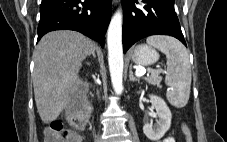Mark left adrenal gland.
<instances>
[{
	"label": "left adrenal gland",
	"mask_w": 227,
	"mask_h": 142,
	"mask_svg": "<svg viewBox=\"0 0 227 142\" xmlns=\"http://www.w3.org/2000/svg\"><path fill=\"white\" fill-rule=\"evenodd\" d=\"M129 80L130 81H138L139 82V79L136 78L134 75H133V72H132V65H130L129 67Z\"/></svg>",
	"instance_id": "obj_1"
}]
</instances>
